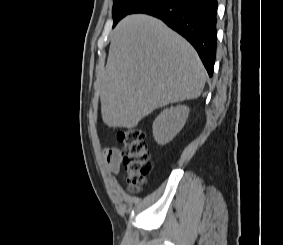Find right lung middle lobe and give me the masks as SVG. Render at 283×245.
Returning a JSON list of instances; mask_svg holds the SVG:
<instances>
[{
    "mask_svg": "<svg viewBox=\"0 0 283 245\" xmlns=\"http://www.w3.org/2000/svg\"><path fill=\"white\" fill-rule=\"evenodd\" d=\"M144 1L145 0H114L112 12L114 26L120 19L129 14L133 9H135Z\"/></svg>",
    "mask_w": 283,
    "mask_h": 245,
    "instance_id": "1",
    "label": "right lung middle lobe"
}]
</instances>
